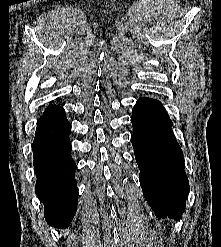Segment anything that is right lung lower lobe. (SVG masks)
<instances>
[{
  "instance_id": "obj_1",
  "label": "right lung lower lobe",
  "mask_w": 221,
  "mask_h": 247,
  "mask_svg": "<svg viewBox=\"0 0 221 247\" xmlns=\"http://www.w3.org/2000/svg\"><path fill=\"white\" fill-rule=\"evenodd\" d=\"M70 130L64 109L50 105L38 120L32 148L37 177L35 192L44 203L45 220L56 228H67L77 207Z\"/></svg>"
}]
</instances>
